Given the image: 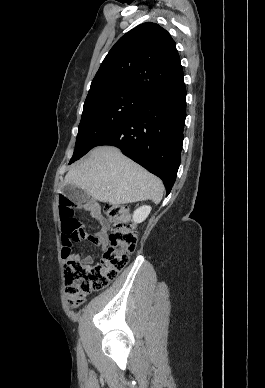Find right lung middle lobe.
<instances>
[{
  "label": "right lung middle lobe",
  "instance_id": "obj_1",
  "mask_svg": "<svg viewBox=\"0 0 265 388\" xmlns=\"http://www.w3.org/2000/svg\"><path fill=\"white\" fill-rule=\"evenodd\" d=\"M144 96L102 90L87 96L78 128L74 154L69 164L80 159L113 129L130 117Z\"/></svg>",
  "mask_w": 265,
  "mask_h": 388
}]
</instances>
